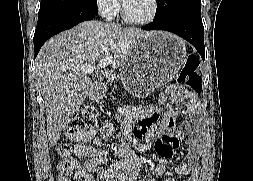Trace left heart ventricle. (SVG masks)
I'll return each mask as SVG.
<instances>
[{
    "label": "left heart ventricle",
    "mask_w": 253,
    "mask_h": 181,
    "mask_svg": "<svg viewBox=\"0 0 253 181\" xmlns=\"http://www.w3.org/2000/svg\"><path fill=\"white\" fill-rule=\"evenodd\" d=\"M126 12L135 19H144L152 10V0H122Z\"/></svg>",
    "instance_id": "1"
}]
</instances>
